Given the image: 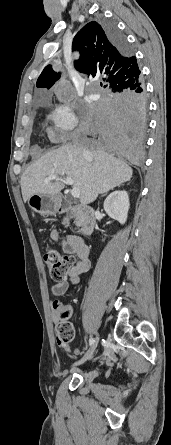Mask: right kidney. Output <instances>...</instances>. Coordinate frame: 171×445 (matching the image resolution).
<instances>
[{
  "instance_id": "right-kidney-1",
  "label": "right kidney",
  "mask_w": 171,
  "mask_h": 445,
  "mask_svg": "<svg viewBox=\"0 0 171 445\" xmlns=\"http://www.w3.org/2000/svg\"><path fill=\"white\" fill-rule=\"evenodd\" d=\"M129 206V197L125 190L112 192L104 202V210L108 216L121 224L127 220Z\"/></svg>"
}]
</instances>
